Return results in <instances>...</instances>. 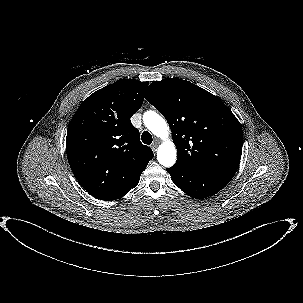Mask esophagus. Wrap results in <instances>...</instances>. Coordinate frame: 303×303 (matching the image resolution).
Here are the masks:
<instances>
[{
    "label": "esophagus",
    "mask_w": 303,
    "mask_h": 303,
    "mask_svg": "<svg viewBox=\"0 0 303 303\" xmlns=\"http://www.w3.org/2000/svg\"><path fill=\"white\" fill-rule=\"evenodd\" d=\"M158 145H159V140L156 139V140L152 143L151 149H152L153 151H156Z\"/></svg>",
    "instance_id": "1"
}]
</instances>
